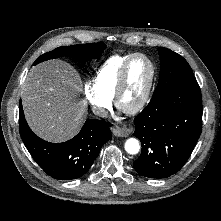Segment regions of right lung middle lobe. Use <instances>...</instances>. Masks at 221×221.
Listing matches in <instances>:
<instances>
[{
    "instance_id": "obj_1",
    "label": "right lung middle lobe",
    "mask_w": 221,
    "mask_h": 221,
    "mask_svg": "<svg viewBox=\"0 0 221 221\" xmlns=\"http://www.w3.org/2000/svg\"><path fill=\"white\" fill-rule=\"evenodd\" d=\"M105 47V44L102 42L58 47L53 51L41 55L39 58H37L34 64L60 56H67L85 62L98 58L104 51Z\"/></svg>"
}]
</instances>
